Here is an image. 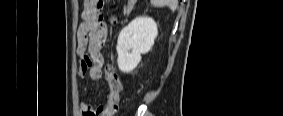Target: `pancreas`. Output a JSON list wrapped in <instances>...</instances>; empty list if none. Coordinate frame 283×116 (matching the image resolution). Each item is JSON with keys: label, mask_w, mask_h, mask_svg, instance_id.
Wrapping results in <instances>:
<instances>
[{"label": "pancreas", "mask_w": 283, "mask_h": 116, "mask_svg": "<svg viewBox=\"0 0 283 116\" xmlns=\"http://www.w3.org/2000/svg\"><path fill=\"white\" fill-rule=\"evenodd\" d=\"M131 10H132V7H131V6L125 7V8H124V15H129L130 12H131Z\"/></svg>", "instance_id": "cf45deb5"}]
</instances>
